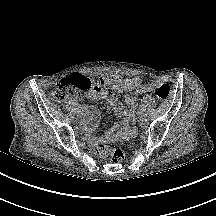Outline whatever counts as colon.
Instances as JSON below:
<instances>
[{
	"instance_id": "obj_1",
	"label": "colon",
	"mask_w": 216,
	"mask_h": 216,
	"mask_svg": "<svg viewBox=\"0 0 216 216\" xmlns=\"http://www.w3.org/2000/svg\"><path fill=\"white\" fill-rule=\"evenodd\" d=\"M104 85L105 81L101 77H98L95 82H92L85 76L73 74L60 81L52 93V98L55 102L62 103L74 96L101 91L104 89ZM151 89L161 100L168 99L171 94V87L165 83L153 82L151 83ZM96 152L102 157H110L114 163H121L126 157L122 149L111 148L104 144L98 145Z\"/></svg>"
}]
</instances>
